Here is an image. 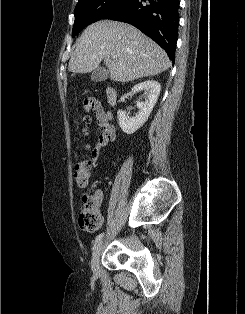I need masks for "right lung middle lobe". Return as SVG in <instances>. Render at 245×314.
<instances>
[{"instance_id": "1", "label": "right lung middle lobe", "mask_w": 245, "mask_h": 314, "mask_svg": "<svg viewBox=\"0 0 245 314\" xmlns=\"http://www.w3.org/2000/svg\"><path fill=\"white\" fill-rule=\"evenodd\" d=\"M129 0H79L75 7V22L72 37L112 11L118 9Z\"/></svg>"}]
</instances>
